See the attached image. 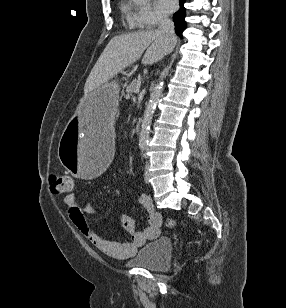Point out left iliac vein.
<instances>
[{
	"instance_id": "obj_1",
	"label": "left iliac vein",
	"mask_w": 286,
	"mask_h": 308,
	"mask_svg": "<svg viewBox=\"0 0 286 308\" xmlns=\"http://www.w3.org/2000/svg\"><path fill=\"white\" fill-rule=\"evenodd\" d=\"M148 178H149V166L147 164L146 167H145V171H144V179H145L146 182H147Z\"/></svg>"
}]
</instances>
